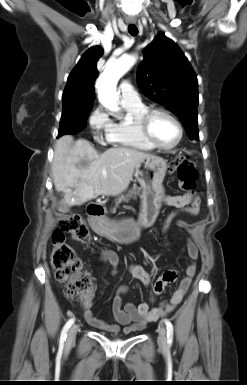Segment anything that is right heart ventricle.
I'll return each instance as SVG.
<instances>
[{"label":"right heart ventricle","instance_id":"right-heart-ventricle-1","mask_svg":"<svg viewBox=\"0 0 247 385\" xmlns=\"http://www.w3.org/2000/svg\"><path fill=\"white\" fill-rule=\"evenodd\" d=\"M123 104L127 112V118L112 123L108 133V141L116 146L133 148L142 151H151L154 149L142 136L138 119L148 109L143 103L136 105Z\"/></svg>","mask_w":247,"mask_h":385}]
</instances>
